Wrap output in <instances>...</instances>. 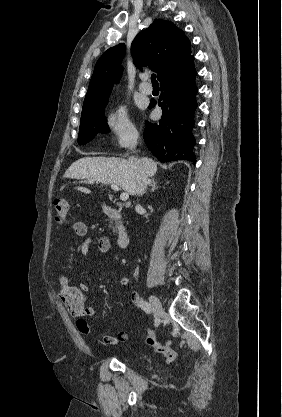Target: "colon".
Instances as JSON below:
<instances>
[{"mask_svg":"<svg viewBox=\"0 0 282 417\" xmlns=\"http://www.w3.org/2000/svg\"><path fill=\"white\" fill-rule=\"evenodd\" d=\"M70 215V204L66 198L60 197L54 202V216L60 223L67 222ZM146 342L155 352L162 354L168 362L173 363L178 359L177 351L171 347L170 343H160L156 338L154 329H148Z\"/></svg>","mask_w":282,"mask_h":417,"instance_id":"colon-1","label":"colon"}]
</instances>
